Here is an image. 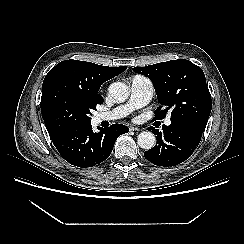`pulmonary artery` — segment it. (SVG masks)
I'll use <instances>...</instances> for the list:
<instances>
[{
  "instance_id": "e3ab8cb5",
  "label": "pulmonary artery",
  "mask_w": 244,
  "mask_h": 244,
  "mask_svg": "<svg viewBox=\"0 0 244 244\" xmlns=\"http://www.w3.org/2000/svg\"><path fill=\"white\" fill-rule=\"evenodd\" d=\"M153 94L152 82L144 76H134L130 83V98L124 105L118 106L111 111L96 115V121H110L125 117L132 110L146 105ZM168 126L171 124L170 118L165 120Z\"/></svg>"
}]
</instances>
